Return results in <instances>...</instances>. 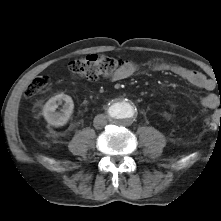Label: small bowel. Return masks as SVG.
Instances as JSON below:
<instances>
[{"mask_svg":"<svg viewBox=\"0 0 221 221\" xmlns=\"http://www.w3.org/2000/svg\"><path fill=\"white\" fill-rule=\"evenodd\" d=\"M155 69L170 71L176 76L180 77L189 84L206 90L212 91L215 88L214 82L200 72L177 65L156 64ZM137 70V65L134 62L127 61L125 64L113 75L112 80H123L133 75ZM219 104V99L215 94H207L201 98V105L207 109H214Z\"/></svg>","mask_w":221,"mask_h":221,"instance_id":"obj_1","label":"small bowel"}]
</instances>
